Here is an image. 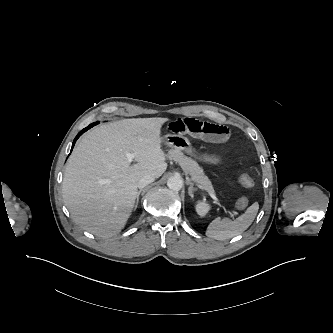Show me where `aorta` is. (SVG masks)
Masks as SVG:
<instances>
[{
    "label": "aorta",
    "instance_id": "obj_1",
    "mask_svg": "<svg viewBox=\"0 0 333 333\" xmlns=\"http://www.w3.org/2000/svg\"><path fill=\"white\" fill-rule=\"evenodd\" d=\"M167 186L171 190L179 191L183 186V180L178 176L170 177L167 181Z\"/></svg>",
    "mask_w": 333,
    "mask_h": 333
}]
</instances>
